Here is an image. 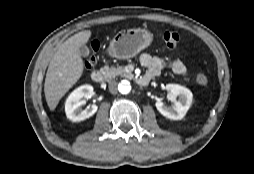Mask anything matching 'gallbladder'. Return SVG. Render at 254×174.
Masks as SVG:
<instances>
[{
  "label": "gallbladder",
  "mask_w": 254,
  "mask_h": 174,
  "mask_svg": "<svg viewBox=\"0 0 254 174\" xmlns=\"http://www.w3.org/2000/svg\"><path fill=\"white\" fill-rule=\"evenodd\" d=\"M89 53H90V50H89V48L86 45H82L80 47V54H81V56L87 57L89 55Z\"/></svg>",
  "instance_id": "1"
}]
</instances>
